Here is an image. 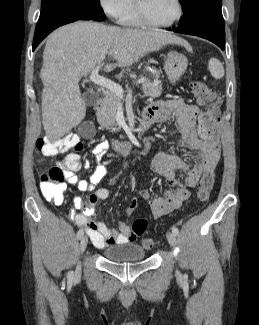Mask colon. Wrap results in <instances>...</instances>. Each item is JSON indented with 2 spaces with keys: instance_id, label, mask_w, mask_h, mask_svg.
<instances>
[{
  "instance_id": "obj_1",
  "label": "colon",
  "mask_w": 259,
  "mask_h": 325,
  "mask_svg": "<svg viewBox=\"0 0 259 325\" xmlns=\"http://www.w3.org/2000/svg\"><path fill=\"white\" fill-rule=\"evenodd\" d=\"M190 91L197 102L206 109L209 116L206 119V129H219L217 121L216 106L217 98L215 91L202 81H194L190 84ZM37 149L45 155H55L59 152L73 150L72 155L78 156L82 149V144L78 136L67 134L57 141H49L40 138L36 142ZM214 182V173L205 174L199 184L198 199L201 202H207ZM40 190L44 198L54 203H61L63 200V192L65 190L64 169L61 166H55L40 177ZM137 206L132 201L127 208V212L131 213ZM147 229V221L145 219H136L132 223V230L137 235H143ZM146 249H152L156 245L153 238H145L142 241Z\"/></svg>"
}]
</instances>
